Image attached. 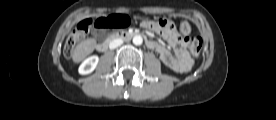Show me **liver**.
Wrapping results in <instances>:
<instances>
[{"instance_id": "obj_1", "label": "liver", "mask_w": 276, "mask_h": 120, "mask_svg": "<svg viewBox=\"0 0 276 120\" xmlns=\"http://www.w3.org/2000/svg\"><path fill=\"white\" fill-rule=\"evenodd\" d=\"M95 47L93 39H87L77 45L71 56L75 63L83 60L88 54L92 53Z\"/></svg>"}]
</instances>
